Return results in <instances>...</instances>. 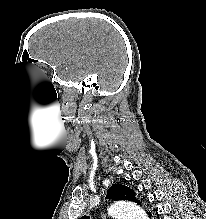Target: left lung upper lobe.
Here are the masks:
<instances>
[{
	"mask_svg": "<svg viewBox=\"0 0 206 219\" xmlns=\"http://www.w3.org/2000/svg\"><path fill=\"white\" fill-rule=\"evenodd\" d=\"M107 199L117 200H129L141 205L140 201L135 197V193L124 185L114 184L108 189ZM80 219H90L84 215Z\"/></svg>",
	"mask_w": 206,
	"mask_h": 219,
	"instance_id": "5c2ea615",
	"label": "left lung upper lobe"
}]
</instances>
